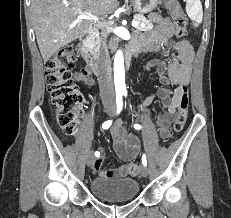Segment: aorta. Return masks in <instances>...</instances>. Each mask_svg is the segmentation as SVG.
I'll return each instance as SVG.
<instances>
[{"mask_svg":"<svg viewBox=\"0 0 231 218\" xmlns=\"http://www.w3.org/2000/svg\"><path fill=\"white\" fill-rule=\"evenodd\" d=\"M114 83L117 91L126 90L125 72H124V56L121 50H118L114 58Z\"/></svg>","mask_w":231,"mask_h":218,"instance_id":"obj_1","label":"aorta"}]
</instances>
